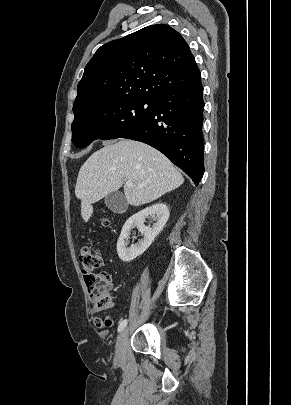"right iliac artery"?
Instances as JSON below:
<instances>
[{
    "instance_id": "obj_1",
    "label": "right iliac artery",
    "mask_w": 291,
    "mask_h": 405,
    "mask_svg": "<svg viewBox=\"0 0 291 405\" xmlns=\"http://www.w3.org/2000/svg\"><path fill=\"white\" fill-rule=\"evenodd\" d=\"M127 325V319L123 320L118 326V332H121Z\"/></svg>"
}]
</instances>
